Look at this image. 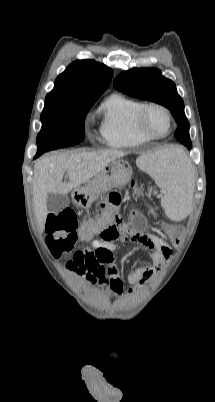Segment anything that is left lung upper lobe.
Returning a JSON list of instances; mask_svg holds the SVG:
<instances>
[{
    "label": "left lung upper lobe",
    "mask_w": 215,
    "mask_h": 402,
    "mask_svg": "<svg viewBox=\"0 0 215 402\" xmlns=\"http://www.w3.org/2000/svg\"><path fill=\"white\" fill-rule=\"evenodd\" d=\"M114 86L130 96L149 100L168 108L177 122L175 137L191 148L189 122L184 113V102L173 81L163 77L158 69H131L114 80Z\"/></svg>",
    "instance_id": "5c2ea615"
}]
</instances>
